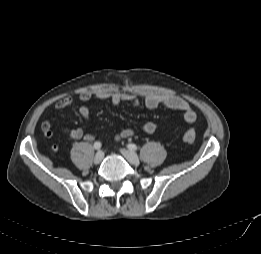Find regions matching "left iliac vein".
I'll use <instances>...</instances> for the list:
<instances>
[{
  "mask_svg": "<svg viewBox=\"0 0 261 254\" xmlns=\"http://www.w3.org/2000/svg\"><path fill=\"white\" fill-rule=\"evenodd\" d=\"M120 152L129 163H131L133 165L139 164V158L134 152L127 150V149H121Z\"/></svg>",
  "mask_w": 261,
  "mask_h": 254,
  "instance_id": "4c4485c4",
  "label": "left iliac vein"
}]
</instances>
